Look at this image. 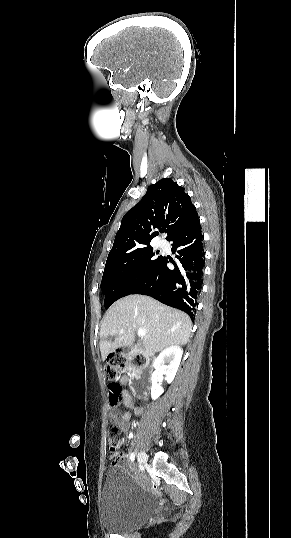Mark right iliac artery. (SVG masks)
Instances as JSON below:
<instances>
[{"label":"right iliac artery","instance_id":"right-iliac-artery-1","mask_svg":"<svg viewBox=\"0 0 291 538\" xmlns=\"http://www.w3.org/2000/svg\"><path fill=\"white\" fill-rule=\"evenodd\" d=\"M130 459H131V461H134V459H135V454L134 453H131Z\"/></svg>","mask_w":291,"mask_h":538}]
</instances>
